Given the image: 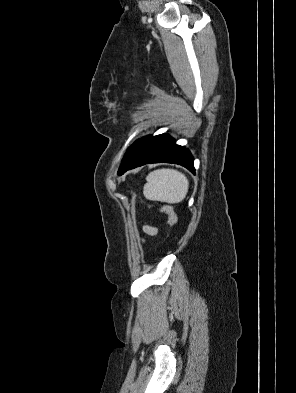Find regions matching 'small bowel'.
I'll return each mask as SVG.
<instances>
[{"label": "small bowel", "instance_id": "c3829d8e", "mask_svg": "<svg viewBox=\"0 0 296 393\" xmlns=\"http://www.w3.org/2000/svg\"><path fill=\"white\" fill-rule=\"evenodd\" d=\"M143 230L147 235H151V236L156 235L158 233V228L150 225H145L143 227Z\"/></svg>", "mask_w": 296, "mask_h": 393}]
</instances>
